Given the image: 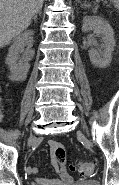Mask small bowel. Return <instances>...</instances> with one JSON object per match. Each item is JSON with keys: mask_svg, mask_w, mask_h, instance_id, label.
Returning <instances> with one entry per match:
<instances>
[{"mask_svg": "<svg viewBox=\"0 0 119 185\" xmlns=\"http://www.w3.org/2000/svg\"><path fill=\"white\" fill-rule=\"evenodd\" d=\"M49 146L52 166L54 167L56 174L59 175L61 181L35 176L38 172V168L36 166L27 167V172L34 175L35 185H62L70 183L72 181V177L67 173L65 167L66 151L64 146L56 140H50Z\"/></svg>", "mask_w": 119, "mask_h": 185, "instance_id": "obj_1", "label": "small bowel"}]
</instances>
